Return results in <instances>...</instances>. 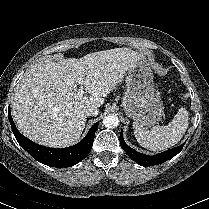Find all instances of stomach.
Masks as SVG:
<instances>
[{"mask_svg": "<svg viewBox=\"0 0 209 209\" xmlns=\"http://www.w3.org/2000/svg\"><path fill=\"white\" fill-rule=\"evenodd\" d=\"M122 107L129 118L142 126H153L163 116V102L153 83L150 63L145 57L128 69Z\"/></svg>", "mask_w": 209, "mask_h": 209, "instance_id": "0dacf381", "label": "stomach"}]
</instances>
